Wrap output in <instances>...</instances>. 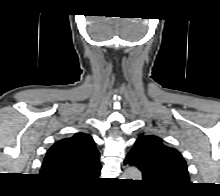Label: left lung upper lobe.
Instances as JSON below:
<instances>
[{
	"instance_id": "left-lung-upper-lobe-1",
	"label": "left lung upper lobe",
	"mask_w": 220,
	"mask_h": 196,
	"mask_svg": "<svg viewBox=\"0 0 220 196\" xmlns=\"http://www.w3.org/2000/svg\"><path fill=\"white\" fill-rule=\"evenodd\" d=\"M124 164L138 167L143 182L158 192L171 193L190 183L182 155L154 135H140Z\"/></svg>"
}]
</instances>
